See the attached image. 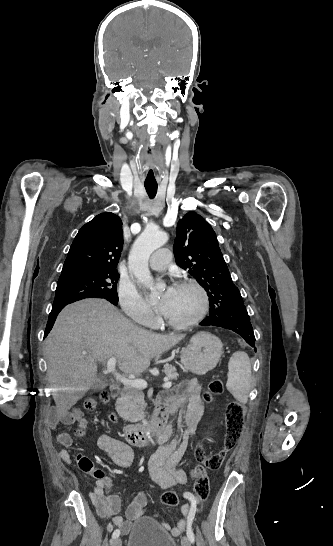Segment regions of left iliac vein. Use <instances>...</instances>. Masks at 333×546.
Returning a JSON list of instances; mask_svg holds the SVG:
<instances>
[{"label": "left iliac vein", "mask_w": 333, "mask_h": 546, "mask_svg": "<svg viewBox=\"0 0 333 546\" xmlns=\"http://www.w3.org/2000/svg\"><path fill=\"white\" fill-rule=\"evenodd\" d=\"M182 546H191V541L188 537L184 536L181 541Z\"/></svg>", "instance_id": "obj_1"}]
</instances>
